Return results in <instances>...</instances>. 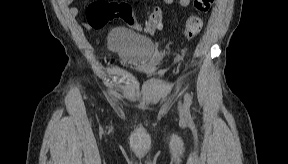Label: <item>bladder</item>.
I'll return each mask as SVG.
<instances>
[{
    "label": "bladder",
    "mask_w": 288,
    "mask_h": 164,
    "mask_svg": "<svg viewBox=\"0 0 288 164\" xmlns=\"http://www.w3.org/2000/svg\"><path fill=\"white\" fill-rule=\"evenodd\" d=\"M110 44L123 60L138 67L149 65L156 52V47L151 40L130 35L114 34Z\"/></svg>",
    "instance_id": "1"
}]
</instances>
